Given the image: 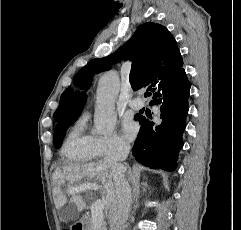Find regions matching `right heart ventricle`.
I'll list each match as a JSON object with an SVG mask.
<instances>
[{
  "label": "right heart ventricle",
  "mask_w": 241,
  "mask_h": 230,
  "mask_svg": "<svg viewBox=\"0 0 241 230\" xmlns=\"http://www.w3.org/2000/svg\"><path fill=\"white\" fill-rule=\"evenodd\" d=\"M87 116L80 117L66 135L62 157L68 163H86L99 157L94 135L86 131Z\"/></svg>",
  "instance_id": "e07e8e85"
}]
</instances>
